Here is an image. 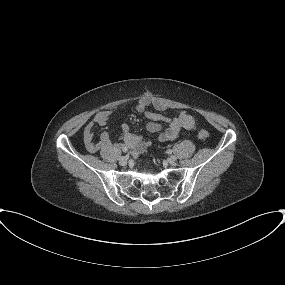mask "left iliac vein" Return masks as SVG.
Instances as JSON below:
<instances>
[{
    "label": "left iliac vein",
    "mask_w": 285,
    "mask_h": 285,
    "mask_svg": "<svg viewBox=\"0 0 285 285\" xmlns=\"http://www.w3.org/2000/svg\"><path fill=\"white\" fill-rule=\"evenodd\" d=\"M168 162H169L170 164H174V163L176 162V157H175V156H170V157L168 158Z\"/></svg>",
    "instance_id": "obj_1"
}]
</instances>
